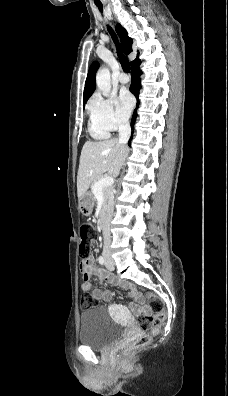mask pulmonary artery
Returning a JSON list of instances; mask_svg holds the SVG:
<instances>
[{
  "label": "pulmonary artery",
  "instance_id": "obj_1",
  "mask_svg": "<svg viewBox=\"0 0 228 396\" xmlns=\"http://www.w3.org/2000/svg\"><path fill=\"white\" fill-rule=\"evenodd\" d=\"M118 81L122 84H126L129 81V77L126 74L121 73L118 75Z\"/></svg>",
  "mask_w": 228,
  "mask_h": 396
}]
</instances>
